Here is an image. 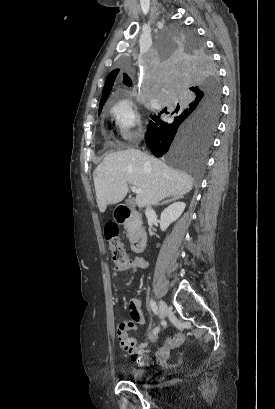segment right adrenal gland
<instances>
[{
	"mask_svg": "<svg viewBox=\"0 0 275 409\" xmlns=\"http://www.w3.org/2000/svg\"><path fill=\"white\" fill-rule=\"evenodd\" d=\"M177 198H183V196H171V198H166V200H162V202H157V205H167V202H172V200H177Z\"/></svg>",
	"mask_w": 275,
	"mask_h": 409,
	"instance_id": "1",
	"label": "right adrenal gland"
}]
</instances>
